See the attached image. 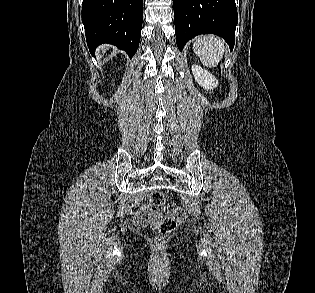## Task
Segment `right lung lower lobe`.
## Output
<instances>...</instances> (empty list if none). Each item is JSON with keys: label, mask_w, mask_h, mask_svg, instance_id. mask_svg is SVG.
Returning <instances> with one entry per match:
<instances>
[{"label": "right lung lower lobe", "mask_w": 315, "mask_h": 293, "mask_svg": "<svg viewBox=\"0 0 315 293\" xmlns=\"http://www.w3.org/2000/svg\"><path fill=\"white\" fill-rule=\"evenodd\" d=\"M82 22L92 54L109 43L132 57L140 42L143 0H83Z\"/></svg>", "instance_id": "98d812e1"}]
</instances>
